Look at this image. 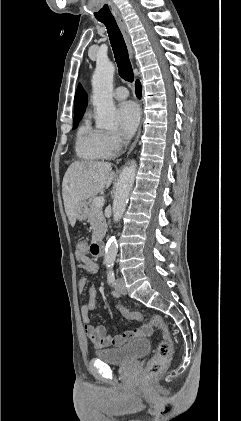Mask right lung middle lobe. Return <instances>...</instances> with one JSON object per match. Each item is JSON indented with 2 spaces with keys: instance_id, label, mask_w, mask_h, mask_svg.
<instances>
[{
  "instance_id": "obj_1",
  "label": "right lung middle lobe",
  "mask_w": 241,
  "mask_h": 421,
  "mask_svg": "<svg viewBox=\"0 0 241 421\" xmlns=\"http://www.w3.org/2000/svg\"><path fill=\"white\" fill-rule=\"evenodd\" d=\"M82 117L73 119V129H76Z\"/></svg>"
}]
</instances>
